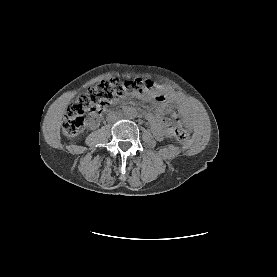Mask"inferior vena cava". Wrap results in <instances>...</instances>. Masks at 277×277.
<instances>
[{"instance_id": "inferior-vena-cava-1", "label": "inferior vena cava", "mask_w": 277, "mask_h": 277, "mask_svg": "<svg viewBox=\"0 0 277 277\" xmlns=\"http://www.w3.org/2000/svg\"><path fill=\"white\" fill-rule=\"evenodd\" d=\"M122 117V114L120 112H110L108 114L107 120L109 122H115L117 120H119Z\"/></svg>"}]
</instances>
